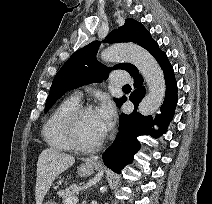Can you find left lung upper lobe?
Segmentation results:
<instances>
[{
    "label": "left lung upper lobe",
    "instance_id": "left-lung-upper-lobe-1",
    "mask_svg": "<svg viewBox=\"0 0 212 204\" xmlns=\"http://www.w3.org/2000/svg\"><path fill=\"white\" fill-rule=\"evenodd\" d=\"M107 42H134L147 49L152 55L160 50L144 26L131 18L126 19L125 24L116 32L110 33ZM99 45L98 41L91 42L76 51L62 66L54 77L46 101L45 112L67 91L106 79L111 69H124L130 75L138 72V69L130 63H120L113 68L100 64L96 60ZM122 99H115L116 104L119 105Z\"/></svg>",
    "mask_w": 212,
    "mask_h": 204
}]
</instances>
